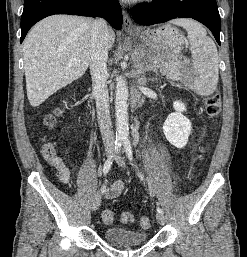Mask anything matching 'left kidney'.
I'll return each mask as SVG.
<instances>
[{
	"label": "left kidney",
	"instance_id": "1",
	"mask_svg": "<svg viewBox=\"0 0 247 257\" xmlns=\"http://www.w3.org/2000/svg\"><path fill=\"white\" fill-rule=\"evenodd\" d=\"M175 112L170 114L163 124L166 139L175 147L181 149L186 146L192 130L190 120L182 113L186 106L180 101L173 102Z\"/></svg>",
	"mask_w": 247,
	"mask_h": 257
}]
</instances>
